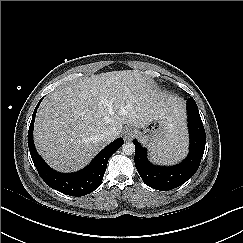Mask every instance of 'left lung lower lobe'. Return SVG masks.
I'll use <instances>...</instances> for the list:
<instances>
[{"mask_svg":"<svg viewBox=\"0 0 243 243\" xmlns=\"http://www.w3.org/2000/svg\"><path fill=\"white\" fill-rule=\"evenodd\" d=\"M188 125L190 130L189 154L183 162L170 167L152 165L147 160L146 149L137 140L134 162L144 183L160 191L174 189L189 180L198 170L206 143V134L195 100H187Z\"/></svg>","mask_w":243,"mask_h":243,"instance_id":"obj_1","label":"left lung lower lobe"}]
</instances>
